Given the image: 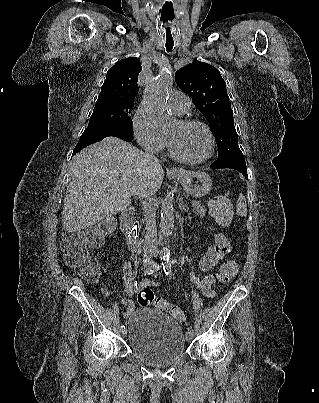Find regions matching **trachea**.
<instances>
[{
	"label": "trachea",
	"mask_w": 319,
	"mask_h": 403,
	"mask_svg": "<svg viewBox=\"0 0 319 403\" xmlns=\"http://www.w3.org/2000/svg\"><path fill=\"white\" fill-rule=\"evenodd\" d=\"M173 46H174V40H173L171 28H170V26H167L166 30H165V47H166L167 52H170L172 50Z\"/></svg>",
	"instance_id": "3493384b"
}]
</instances>
